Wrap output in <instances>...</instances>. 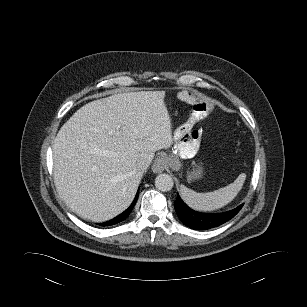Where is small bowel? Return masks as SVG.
Listing matches in <instances>:
<instances>
[{"label": "small bowel", "instance_id": "c3829d8e", "mask_svg": "<svg viewBox=\"0 0 307 307\" xmlns=\"http://www.w3.org/2000/svg\"><path fill=\"white\" fill-rule=\"evenodd\" d=\"M212 105L207 102H197L193 105L190 115L182 125L174 128V135L177 138H185L195 131V124L212 112Z\"/></svg>", "mask_w": 307, "mask_h": 307}]
</instances>
